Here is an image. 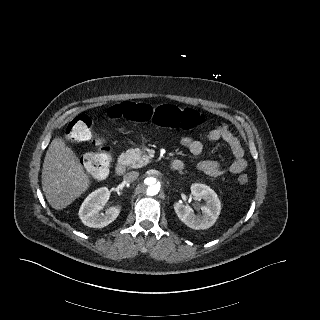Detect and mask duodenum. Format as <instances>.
<instances>
[{
  "label": "duodenum",
  "mask_w": 320,
  "mask_h": 320,
  "mask_svg": "<svg viewBox=\"0 0 320 320\" xmlns=\"http://www.w3.org/2000/svg\"><path fill=\"white\" fill-rule=\"evenodd\" d=\"M184 168V163L181 160H173L170 163V169L172 171H181ZM116 174L122 176L126 172V164L124 161H119L115 168Z\"/></svg>",
  "instance_id": "410a0bca"
}]
</instances>
